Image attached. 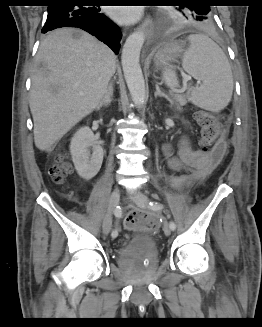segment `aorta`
Returning a JSON list of instances; mask_svg holds the SVG:
<instances>
[{
	"instance_id": "762f6f07",
	"label": "aorta",
	"mask_w": 262,
	"mask_h": 327,
	"mask_svg": "<svg viewBox=\"0 0 262 327\" xmlns=\"http://www.w3.org/2000/svg\"><path fill=\"white\" fill-rule=\"evenodd\" d=\"M145 41V33L137 30L131 33L123 46L121 63L124 77L134 103L141 108L145 102V81L139 58Z\"/></svg>"
}]
</instances>
